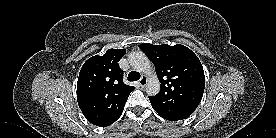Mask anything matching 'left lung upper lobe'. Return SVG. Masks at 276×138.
<instances>
[{
  "mask_svg": "<svg viewBox=\"0 0 276 138\" xmlns=\"http://www.w3.org/2000/svg\"><path fill=\"white\" fill-rule=\"evenodd\" d=\"M140 49L155 65L161 90L149 96L154 110L162 117L181 120L188 118L199 105L205 76L198 57L186 46L177 44H140Z\"/></svg>",
  "mask_w": 276,
  "mask_h": 138,
  "instance_id": "obj_1",
  "label": "left lung upper lobe"
}]
</instances>
